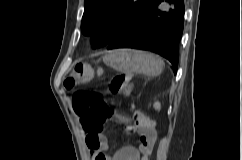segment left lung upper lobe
Instances as JSON below:
<instances>
[{
    "label": "left lung upper lobe",
    "mask_w": 242,
    "mask_h": 160,
    "mask_svg": "<svg viewBox=\"0 0 242 160\" xmlns=\"http://www.w3.org/2000/svg\"><path fill=\"white\" fill-rule=\"evenodd\" d=\"M150 0H85L81 30L92 35L93 48L107 46L121 35Z\"/></svg>",
    "instance_id": "obj_1"
}]
</instances>
